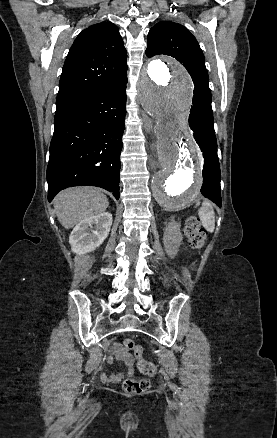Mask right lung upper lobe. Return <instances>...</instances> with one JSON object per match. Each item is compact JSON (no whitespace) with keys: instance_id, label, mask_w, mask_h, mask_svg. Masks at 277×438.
I'll use <instances>...</instances> for the list:
<instances>
[{"instance_id":"obj_1","label":"right lung upper lobe","mask_w":277,"mask_h":438,"mask_svg":"<svg viewBox=\"0 0 277 438\" xmlns=\"http://www.w3.org/2000/svg\"><path fill=\"white\" fill-rule=\"evenodd\" d=\"M127 52L118 28L111 22L89 26L75 39L64 63L56 106L122 78ZM110 63V70L98 66Z\"/></svg>"}]
</instances>
